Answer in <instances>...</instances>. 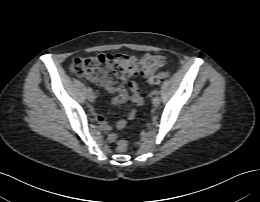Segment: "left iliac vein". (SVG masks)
I'll return each mask as SVG.
<instances>
[{
	"instance_id": "1",
	"label": "left iliac vein",
	"mask_w": 260,
	"mask_h": 202,
	"mask_svg": "<svg viewBox=\"0 0 260 202\" xmlns=\"http://www.w3.org/2000/svg\"><path fill=\"white\" fill-rule=\"evenodd\" d=\"M152 104H153V106H155V107L159 106V104H160V98H159L158 96H154V97L152 98Z\"/></svg>"
}]
</instances>
